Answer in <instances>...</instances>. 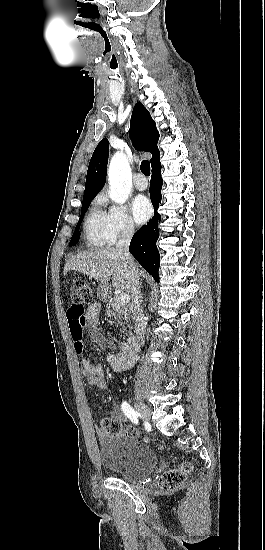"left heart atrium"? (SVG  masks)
Segmentation results:
<instances>
[{
    "label": "left heart atrium",
    "mask_w": 265,
    "mask_h": 550,
    "mask_svg": "<svg viewBox=\"0 0 265 550\" xmlns=\"http://www.w3.org/2000/svg\"><path fill=\"white\" fill-rule=\"evenodd\" d=\"M131 211L134 220L138 224L146 222L152 214V207L149 200L145 196H137L132 204Z\"/></svg>",
    "instance_id": "left-heart-atrium-1"
}]
</instances>
